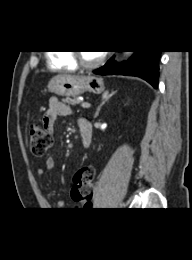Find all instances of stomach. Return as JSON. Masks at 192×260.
Returning a JSON list of instances; mask_svg holds the SVG:
<instances>
[{"label":"stomach","mask_w":192,"mask_h":260,"mask_svg":"<svg viewBox=\"0 0 192 260\" xmlns=\"http://www.w3.org/2000/svg\"><path fill=\"white\" fill-rule=\"evenodd\" d=\"M48 90L59 96L77 97L85 92L94 94L103 92L104 83L102 79L92 75L72 77L57 75L49 81Z\"/></svg>","instance_id":"1"}]
</instances>
